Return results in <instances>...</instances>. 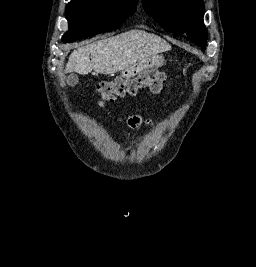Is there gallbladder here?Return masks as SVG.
I'll return each mask as SVG.
<instances>
[{"label": "gallbladder", "mask_w": 256, "mask_h": 267, "mask_svg": "<svg viewBox=\"0 0 256 267\" xmlns=\"http://www.w3.org/2000/svg\"><path fill=\"white\" fill-rule=\"evenodd\" d=\"M78 82H79V78L78 76H76V74H70V76H68L66 80V84H68V86H76Z\"/></svg>", "instance_id": "bac80fb5"}]
</instances>
